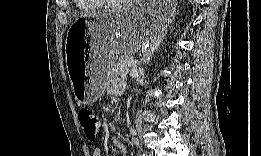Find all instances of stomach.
<instances>
[{"label": "stomach", "instance_id": "stomach-1", "mask_svg": "<svg viewBox=\"0 0 261 156\" xmlns=\"http://www.w3.org/2000/svg\"><path fill=\"white\" fill-rule=\"evenodd\" d=\"M171 2H131L122 9L77 19L70 26L65 44L72 90L81 104H91L105 88L107 68L119 54L130 55L159 36L171 23ZM90 45V61L81 65L74 56Z\"/></svg>", "mask_w": 261, "mask_h": 156}]
</instances>
